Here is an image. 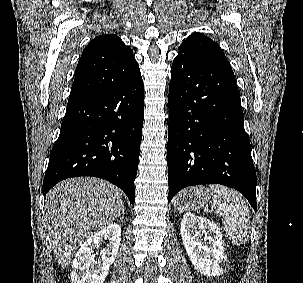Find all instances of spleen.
Returning a JSON list of instances; mask_svg holds the SVG:
<instances>
[{
	"mask_svg": "<svg viewBox=\"0 0 303 283\" xmlns=\"http://www.w3.org/2000/svg\"><path fill=\"white\" fill-rule=\"evenodd\" d=\"M212 204L218 216L224 218L223 228L228 239L236 246L245 244L250 236L251 216L243 198L234 190L211 185Z\"/></svg>",
	"mask_w": 303,
	"mask_h": 283,
	"instance_id": "3e777b00",
	"label": "spleen"
}]
</instances>
